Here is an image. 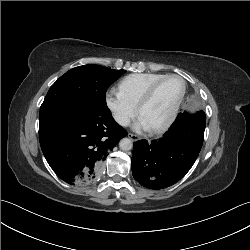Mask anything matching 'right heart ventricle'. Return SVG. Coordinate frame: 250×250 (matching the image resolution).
<instances>
[{"label":"right heart ventricle","instance_id":"1","mask_svg":"<svg viewBox=\"0 0 250 250\" xmlns=\"http://www.w3.org/2000/svg\"><path fill=\"white\" fill-rule=\"evenodd\" d=\"M164 76L161 73H136L124 77L119 83L120 93L134 106H137L148 87Z\"/></svg>","mask_w":250,"mask_h":250}]
</instances>
